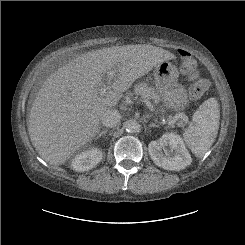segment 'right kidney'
Wrapping results in <instances>:
<instances>
[{"label":"right kidney","instance_id":"obj_1","mask_svg":"<svg viewBox=\"0 0 245 245\" xmlns=\"http://www.w3.org/2000/svg\"><path fill=\"white\" fill-rule=\"evenodd\" d=\"M102 159V151L94 148L76 155L72 160L75 171H87L95 167Z\"/></svg>","mask_w":245,"mask_h":245}]
</instances>
